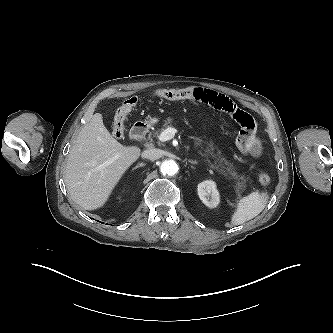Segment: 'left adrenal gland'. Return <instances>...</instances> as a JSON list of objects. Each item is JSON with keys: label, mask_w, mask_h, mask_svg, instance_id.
I'll list each match as a JSON object with an SVG mask.
<instances>
[{"label": "left adrenal gland", "mask_w": 333, "mask_h": 333, "mask_svg": "<svg viewBox=\"0 0 333 333\" xmlns=\"http://www.w3.org/2000/svg\"><path fill=\"white\" fill-rule=\"evenodd\" d=\"M188 162L191 163V164H197V163H198L196 160H195V161H193V160H188Z\"/></svg>", "instance_id": "a2214340"}]
</instances>
